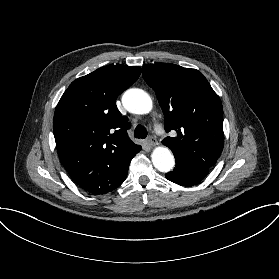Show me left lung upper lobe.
I'll return each instance as SVG.
<instances>
[{
  "instance_id": "1",
  "label": "left lung upper lobe",
  "mask_w": 279,
  "mask_h": 279,
  "mask_svg": "<svg viewBox=\"0 0 279 279\" xmlns=\"http://www.w3.org/2000/svg\"><path fill=\"white\" fill-rule=\"evenodd\" d=\"M142 75L156 92L166 131L177 132L162 143L176 162L210 170L222 152L224 134L222 104L207 79L172 63L144 65Z\"/></svg>"
}]
</instances>
